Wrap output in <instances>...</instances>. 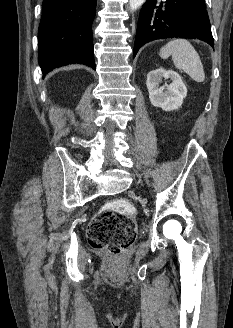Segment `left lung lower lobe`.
<instances>
[{
    "instance_id": "0a47b994",
    "label": "left lung lower lobe",
    "mask_w": 233,
    "mask_h": 328,
    "mask_svg": "<svg viewBox=\"0 0 233 328\" xmlns=\"http://www.w3.org/2000/svg\"><path fill=\"white\" fill-rule=\"evenodd\" d=\"M172 37L197 38L214 48L204 0H147L139 15L133 57L143 44Z\"/></svg>"
}]
</instances>
